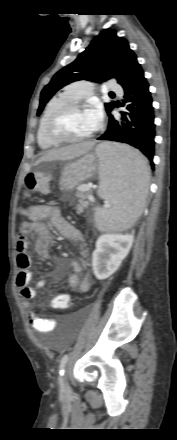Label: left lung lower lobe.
<instances>
[{
    "mask_svg": "<svg viewBox=\"0 0 177 440\" xmlns=\"http://www.w3.org/2000/svg\"><path fill=\"white\" fill-rule=\"evenodd\" d=\"M124 103L127 111L116 120L109 114L106 132L98 140H110L129 144L139 149L154 168L155 124L152 97L144 72L139 69L131 82L124 87Z\"/></svg>",
    "mask_w": 177,
    "mask_h": 440,
    "instance_id": "1",
    "label": "left lung lower lobe"
}]
</instances>
